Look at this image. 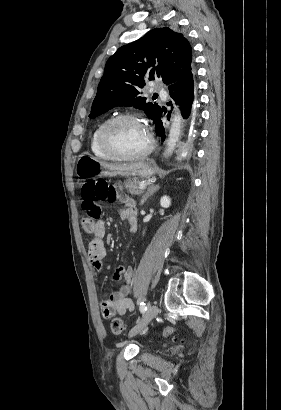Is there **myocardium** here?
Here are the masks:
<instances>
[{
    "mask_svg": "<svg viewBox=\"0 0 281 410\" xmlns=\"http://www.w3.org/2000/svg\"><path fill=\"white\" fill-rule=\"evenodd\" d=\"M123 120L135 121L143 125V127L145 128L147 132L148 140H149L148 145L146 146L144 150L138 153H134V154H124L118 151L117 149H115L111 145L110 140H109L110 132L112 128L118 122L123 121ZM99 144H100L101 149L107 155H109L112 159H116V160H135V159L146 157L153 151L154 146H155L154 138L151 132L149 131L147 125L145 124V122L142 119H140L138 116L131 114V113H121L109 119L100 131Z\"/></svg>",
    "mask_w": 281,
    "mask_h": 410,
    "instance_id": "obj_1",
    "label": "myocardium"
}]
</instances>
